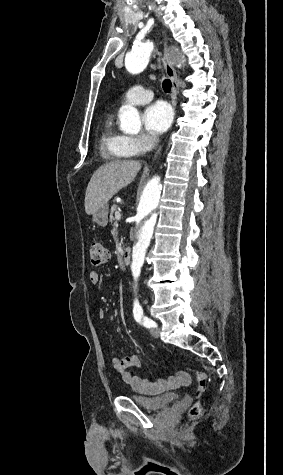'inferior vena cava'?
<instances>
[{
	"instance_id": "602c4592",
	"label": "inferior vena cava",
	"mask_w": 283,
	"mask_h": 475,
	"mask_svg": "<svg viewBox=\"0 0 283 475\" xmlns=\"http://www.w3.org/2000/svg\"><path fill=\"white\" fill-rule=\"evenodd\" d=\"M150 140H151L153 146H157L158 142H160L159 136H157V134H154V132H152V134H150Z\"/></svg>"
}]
</instances>
